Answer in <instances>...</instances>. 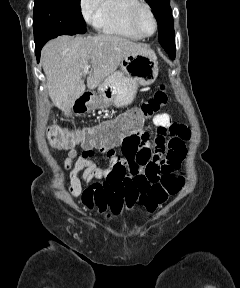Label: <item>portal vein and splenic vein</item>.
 <instances>
[{"label":"portal vein and splenic vein","instance_id":"obj_1","mask_svg":"<svg viewBox=\"0 0 240 288\" xmlns=\"http://www.w3.org/2000/svg\"><path fill=\"white\" fill-rule=\"evenodd\" d=\"M89 69H90V65H85V67L83 68L82 73L83 74H87L89 72Z\"/></svg>","mask_w":240,"mask_h":288}]
</instances>
